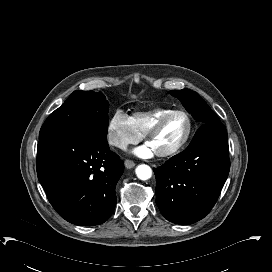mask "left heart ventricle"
<instances>
[{
	"mask_svg": "<svg viewBox=\"0 0 272 272\" xmlns=\"http://www.w3.org/2000/svg\"><path fill=\"white\" fill-rule=\"evenodd\" d=\"M187 123L183 116H174L149 139V144L155 151L164 152L175 148L184 138Z\"/></svg>",
	"mask_w": 272,
	"mask_h": 272,
	"instance_id": "left-heart-ventricle-1",
	"label": "left heart ventricle"
}]
</instances>
